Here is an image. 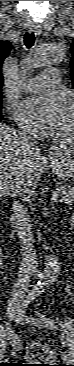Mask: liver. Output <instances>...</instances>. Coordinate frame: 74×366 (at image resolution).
I'll use <instances>...</instances> for the list:
<instances>
[{"mask_svg":"<svg viewBox=\"0 0 74 366\" xmlns=\"http://www.w3.org/2000/svg\"><path fill=\"white\" fill-rule=\"evenodd\" d=\"M20 133L0 125V194L12 196L16 186H35L44 171L38 149L20 143Z\"/></svg>","mask_w":74,"mask_h":366,"instance_id":"obj_1","label":"liver"}]
</instances>
